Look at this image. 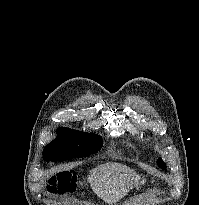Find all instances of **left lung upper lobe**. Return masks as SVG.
<instances>
[{"label":"left lung upper lobe","instance_id":"5c2ea615","mask_svg":"<svg viewBox=\"0 0 199 205\" xmlns=\"http://www.w3.org/2000/svg\"><path fill=\"white\" fill-rule=\"evenodd\" d=\"M157 164H158V166H159L160 168H162V169H164V170L166 169V165H165V163L162 161L161 158L158 159Z\"/></svg>","mask_w":199,"mask_h":205}]
</instances>
